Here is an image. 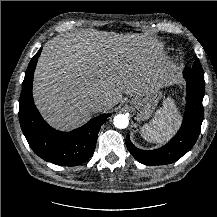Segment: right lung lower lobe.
<instances>
[{
	"label": "right lung lower lobe",
	"instance_id": "1",
	"mask_svg": "<svg viewBox=\"0 0 217 217\" xmlns=\"http://www.w3.org/2000/svg\"><path fill=\"white\" fill-rule=\"evenodd\" d=\"M41 49L30 61L25 72L19 99V120L32 150L42 159L61 166H77L93 154L101 125L110 114L91 119L71 132L50 127L41 117L32 97L33 74Z\"/></svg>",
	"mask_w": 217,
	"mask_h": 217
}]
</instances>
